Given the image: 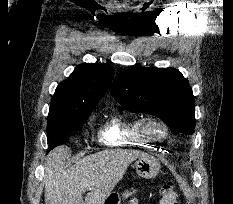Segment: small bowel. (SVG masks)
I'll return each instance as SVG.
<instances>
[{"instance_id":"c3829d8e","label":"small bowel","mask_w":233,"mask_h":204,"mask_svg":"<svg viewBox=\"0 0 233 204\" xmlns=\"http://www.w3.org/2000/svg\"><path fill=\"white\" fill-rule=\"evenodd\" d=\"M130 204H138V200L137 199H133Z\"/></svg>"}]
</instances>
